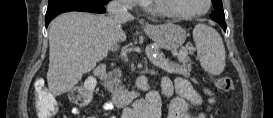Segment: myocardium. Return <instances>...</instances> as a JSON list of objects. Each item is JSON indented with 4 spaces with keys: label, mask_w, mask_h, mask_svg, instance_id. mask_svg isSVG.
I'll use <instances>...</instances> for the list:
<instances>
[{
    "label": "myocardium",
    "mask_w": 273,
    "mask_h": 118,
    "mask_svg": "<svg viewBox=\"0 0 273 118\" xmlns=\"http://www.w3.org/2000/svg\"><path fill=\"white\" fill-rule=\"evenodd\" d=\"M204 1H205V8L203 10L192 12V13H182V12L170 9L168 0H153V12L160 15L169 16V17L191 19L198 16H202L209 11L211 6V0H204Z\"/></svg>",
    "instance_id": "obj_1"
}]
</instances>
